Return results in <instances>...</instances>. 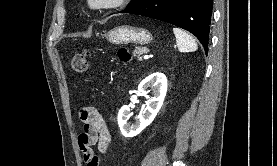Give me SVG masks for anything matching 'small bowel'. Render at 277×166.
I'll return each mask as SVG.
<instances>
[{"mask_svg": "<svg viewBox=\"0 0 277 166\" xmlns=\"http://www.w3.org/2000/svg\"><path fill=\"white\" fill-rule=\"evenodd\" d=\"M80 119L83 122V131L78 137V146L86 166H99L100 158L93 150L97 145L100 153H106L111 135L105 120L97 109L83 108L80 111Z\"/></svg>", "mask_w": 277, "mask_h": 166, "instance_id": "small-bowel-1", "label": "small bowel"}]
</instances>
